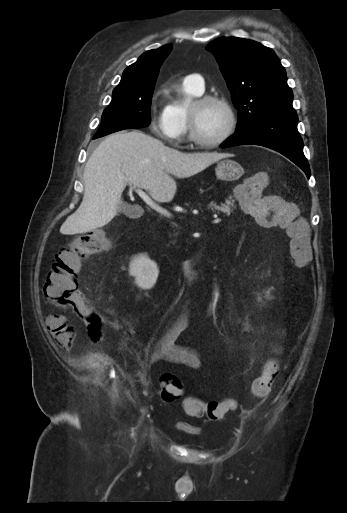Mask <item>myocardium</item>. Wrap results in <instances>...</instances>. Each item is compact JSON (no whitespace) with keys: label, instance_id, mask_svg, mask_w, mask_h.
Segmentation results:
<instances>
[{"label":"myocardium","instance_id":"obj_1","mask_svg":"<svg viewBox=\"0 0 347 513\" xmlns=\"http://www.w3.org/2000/svg\"><path fill=\"white\" fill-rule=\"evenodd\" d=\"M208 103H216V104L221 105L226 110L227 117H228V124H227L225 131L223 132V134L221 136H219L218 138L213 139V140H205L199 136V134L197 133L195 122H194L193 115H192V109L195 106L208 104ZM236 124H237V118H236L235 111H234L232 105L230 104V102L224 97H221L218 95H212V94L201 95L198 98H196L195 100H193L188 105V110H187L188 133H189V137H190L191 141L198 146H201L204 148H214V147L221 145L229 137L232 136V134L235 131Z\"/></svg>","mask_w":347,"mask_h":513}]
</instances>
